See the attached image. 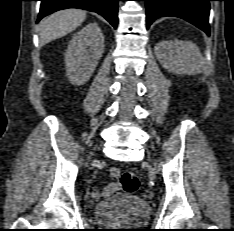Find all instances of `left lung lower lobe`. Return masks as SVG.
Wrapping results in <instances>:
<instances>
[{"instance_id":"0a47b994","label":"left lung lower lobe","mask_w":234,"mask_h":231,"mask_svg":"<svg viewBox=\"0 0 234 231\" xmlns=\"http://www.w3.org/2000/svg\"><path fill=\"white\" fill-rule=\"evenodd\" d=\"M146 2L147 28L159 17L174 16L182 18L204 32L209 29V1L212 0H141Z\"/></svg>"}]
</instances>
